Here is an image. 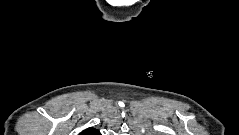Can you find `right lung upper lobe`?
<instances>
[{"instance_id": "right-lung-upper-lobe-1", "label": "right lung upper lobe", "mask_w": 239, "mask_h": 135, "mask_svg": "<svg viewBox=\"0 0 239 135\" xmlns=\"http://www.w3.org/2000/svg\"><path fill=\"white\" fill-rule=\"evenodd\" d=\"M99 131L94 128H87L80 135H98Z\"/></svg>"}]
</instances>
